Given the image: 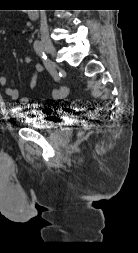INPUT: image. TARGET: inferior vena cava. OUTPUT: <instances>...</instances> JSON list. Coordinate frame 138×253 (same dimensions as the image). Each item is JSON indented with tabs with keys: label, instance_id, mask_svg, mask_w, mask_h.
Instances as JSON below:
<instances>
[{
	"label": "inferior vena cava",
	"instance_id": "obj_1",
	"mask_svg": "<svg viewBox=\"0 0 138 253\" xmlns=\"http://www.w3.org/2000/svg\"><path fill=\"white\" fill-rule=\"evenodd\" d=\"M40 32H41V37L42 39H48L49 37V32H48V25H47V18L45 14V10H40Z\"/></svg>",
	"mask_w": 138,
	"mask_h": 253
}]
</instances>
